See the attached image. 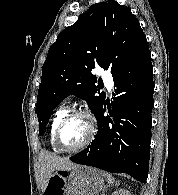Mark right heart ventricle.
<instances>
[{"mask_svg":"<svg viewBox=\"0 0 178 195\" xmlns=\"http://www.w3.org/2000/svg\"><path fill=\"white\" fill-rule=\"evenodd\" d=\"M67 113V105L63 104L60 108H58L55 113L52 116L50 126H49V142L51 145V148L55 152H61V150L55 145L54 143V133L55 129L60 122V120L66 115Z\"/></svg>","mask_w":178,"mask_h":195,"instance_id":"right-heart-ventricle-1","label":"right heart ventricle"}]
</instances>
